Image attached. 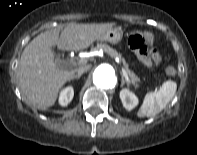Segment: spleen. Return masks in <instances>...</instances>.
Instances as JSON below:
<instances>
[{
	"instance_id": "spleen-1",
	"label": "spleen",
	"mask_w": 197,
	"mask_h": 155,
	"mask_svg": "<svg viewBox=\"0 0 197 155\" xmlns=\"http://www.w3.org/2000/svg\"><path fill=\"white\" fill-rule=\"evenodd\" d=\"M177 84L168 80L158 91L147 93L137 112L138 117H151L160 113L174 97Z\"/></svg>"
}]
</instances>
